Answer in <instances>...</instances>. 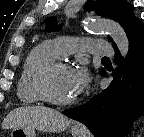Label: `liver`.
<instances>
[{
  "label": "liver",
  "mask_w": 144,
  "mask_h": 137,
  "mask_svg": "<svg viewBox=\"0 0 144 137\" xmlns=\"http://www.w3.org/2000/svg\"><path fill=\"white\" fill-rule=\"evenodd\" d=\"M71 120L59 111L43 106L19 107L12 110L3 120L4 129H37L59 133L66 130Z\"/></svg>",
  "instance_id": "obj_1"
}]
</instances>
